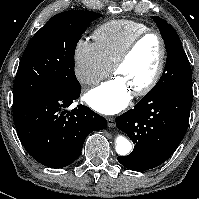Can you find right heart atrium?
Masks as SVG:
<instances>
[{
	"instance_id": "d8ad5b80",
	"label": "right heart atrium",
	"mask_w": 199,
	"mask_h": 199,
	"mask_svg": "<svg viewBox=\"0 0 199 199\" xmlns=\"http://www.w3.org/2000/svg\"><path fill=\"white\" fill-rule=\"evenodd\" d=\"M74 74L84 85H95L111 72V66L100 53L95 42L80 39L74 48Z\"/></svg>"
}]
</instances>
